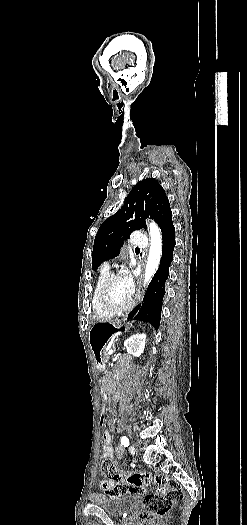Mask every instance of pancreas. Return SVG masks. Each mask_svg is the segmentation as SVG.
I'll return each instance as SVG.
<instances>
[{
  "mask_svg": "<svg viewBox=\"0 0 247 525\" xmlns=\"http://www.w3.org/2000/svg\"><path fill=\"white\" fill-rule=\"evenodd\" d=\"M108 353H109V349H104V352H102V355L100 356V359L102 361H106L108 359Z\"/></svg>",
  "mask_w": 247,
  "mask_h": 525,
  "instance_id": "cf45deb5",
  "label": "pancreas"
}]
</instances>
